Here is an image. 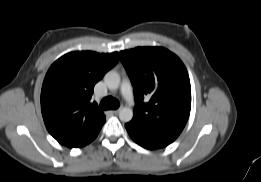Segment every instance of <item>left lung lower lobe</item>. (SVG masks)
I'll return each mask as SVG.
<instances>
[{
  "label": "left lung lower lobe",
  "mask_w": 261,
  "mask_h": 182,
  "mask_svg": "<svg viewBox=\"0 0 261 182\" xmlns=\"http://www.w3.org/2000/svg\"><path fill=\"white\" fill-rule=\"evenodd\" d=\"M130 137L139 145L146 149H158L166 147L172 143L175 139H170L163 136L143 133L136 130L132 124L129 122L125 125Z\"/></svg>",
  "instance_id": "1"
}]
</instances>
